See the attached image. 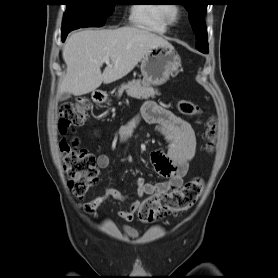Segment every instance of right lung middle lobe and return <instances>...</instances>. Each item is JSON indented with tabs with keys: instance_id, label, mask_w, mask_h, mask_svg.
<instances>
[{
	"instance_id": "dd1d6c3e",
	"label": "right lung middle lobe",
	"mask_w": 278,
	"mask_h": 278,
	"mask_svg": "<svg viewBox=\"0 0 278 278\" xmlns=\"http://www.w3.org/2000/svg\"><path fill=\"white\" fill-rule=\"evenodd\" d=\"M117 0H65L62 32L87 27L103 26L112 14Z\"/></svg>"
}]
</instances>
